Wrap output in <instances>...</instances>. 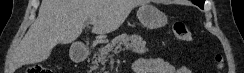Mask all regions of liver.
Here are the masks:
<instances>
[{
  "instance_id": "obj_1",
  "label": "liver",
  "mask_w": 244,
  "mask_h": 73,
  "mask_svg": "<svg viewBox=\"0 0 244 73\" xmlns=\"http://www.w3.org/2000/svg\"><path fill=\"white\" fill-rule=\"evenodd\" d=\"M143 0H42L36 21L20 42L11 71L45 61L58 43H71L87 21L95 20L92 32L98 39L117 30Z\"/></svg>"
}]
</instances>
